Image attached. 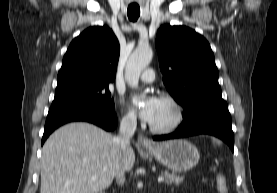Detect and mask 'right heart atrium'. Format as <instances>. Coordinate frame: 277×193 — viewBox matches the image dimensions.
<instances>
[{"label":"right heart atrium","mask_w":277,"mask_h":193,"mask_svg":"<svg viewBox=\"0 0 277 193\" xmlns=\"http://www.w3.org/2000/svg\"><path fill=\"white\" fill-rule=\"evenodd\" d=\"M121 121L123 124L131 126L136 122L135 114L130 110H124L121 115Z\"/></svg>","instance_id":"1"}]
</instances>
